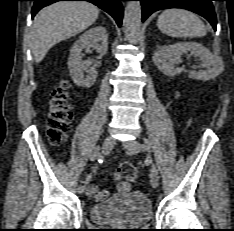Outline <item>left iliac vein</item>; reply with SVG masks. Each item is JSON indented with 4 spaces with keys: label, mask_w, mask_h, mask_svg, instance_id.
Wrapping results in <instances>:
<instances>
[{
    "label": "left iliac vein",
    "mask_w": 234,
    "mask_h": 231,
    "mask_svg": "<svg viewBox=\"0 0 234 231\" xmlns=\"http://www.w3.org/2000/svg\"><path fill=\"white\" fill-rule=\"evenodd\" d=\"M123 146L132 154L142 152L141 145L135 141H126L123 143ZM150 181L153 188H157L159 184V172L154 164L151 165Z\"/></svg>",
    "instance_id": "1"
}]
</instances>
